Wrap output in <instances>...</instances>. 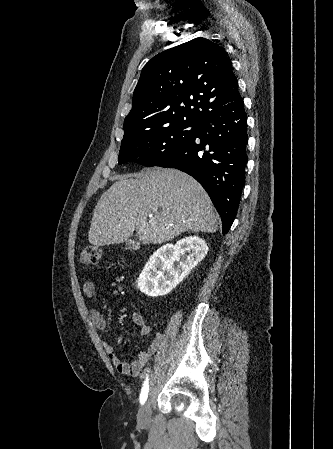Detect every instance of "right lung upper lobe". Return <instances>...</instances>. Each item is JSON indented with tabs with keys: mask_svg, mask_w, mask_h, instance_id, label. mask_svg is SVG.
I'll list each match as a JSON object with an SVG mask.
<instances>
[{
	"mask_svg": "<svg viewBox=\"0 0 333 449\" xmlns=\"http://www.w3.org/2000/svg\"><path fill=\"white\" fill-rule=\"evenodd\" d=\"M239 96L224 48L195 38L156 55L144 66L124 122L123 140L171 121L199 123Z\"/></svg>",
	"mask_w": 333,
	"mask_h": 449,
	"instance_id": "right-lung-upper-lobe-1",
	"label": "right lung upper lobe"
}]
</instances>
